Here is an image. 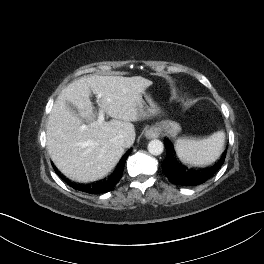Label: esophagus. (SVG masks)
Listing matches in <instances>:
<instances>
[{
  "label": "esophagus",
  "instance_id": "1",
  "mask_svg": "<svg viewBox=\"0 0 264 264\" xmlns=\"http://www.w3.org/2000/svg\"><path fill=\"white\" fill-rule=\"evenodd\" d=\"M159 136V131L155 127H150L145 131V137L147 139L157 138Z\"/></svg>",
  "mask_w": 264,
  "mask_h": 264
}]
</instances>
